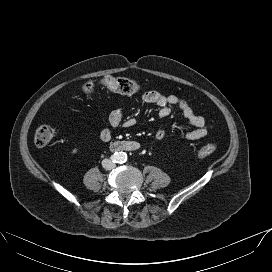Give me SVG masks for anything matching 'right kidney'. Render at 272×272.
I'll use <instances>...</instances> for the list:
<instances>
[{"instance_id": "obj_1", "label": "right kidney", "mask_w": 272, "mask_h": 272, "mask_svg": "<svg viewBox=\"0 0 272 272\" xmlns=\"http://www.w3.org/2000/svg\"><path fill=\"white\" fill-rule=\"evenodd\" d=\"M72 152H73V153H77V149H74Z\"/></svg>"}]
</instances>
